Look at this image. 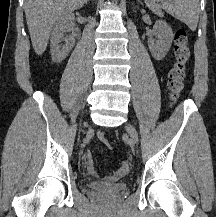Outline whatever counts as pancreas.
<instances>
[{"mask_svg": "<svg viewBox=\"0 0 216 217\" xmlns=\"http://www.w3.org/2000/svg\"><path fill=\"white\" fill-rule=\"evenodd\" d=\"M147 6L157 15L163 16V12L161 11V7L155 3V0H145Z\"/></svg>", "mask_w": 216, "mask_h": 217, "instance_id": "cf45deb5", "label": "pancreas"}]
</instances>
